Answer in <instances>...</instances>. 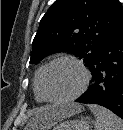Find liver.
Here are the masks:
<instances>
[{
  "label": "liver",
  "mask_w": 123,
  "mask_h": 130,
  "mask_svg": "<svg viewBox=\"0 0 123 130\" xmlns=\"http://www.w3.org/2000/svg\"><path fill=\"white\" fill-rule=\"evenodd\" d=\"M81 110L82 106L77 104L64 107L44 106L34 112L27 128L32 130H49L57 122L73 116L81 112Z\"/></svg>",
  "instance_id": "obj_1"
}]
</instances>
